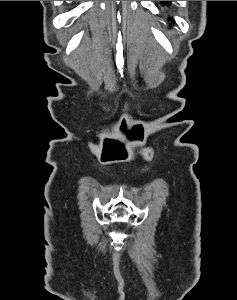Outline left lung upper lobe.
Returning a JSON list of instances; mask_svg holds the SVG:
<instances>
[{"instance_id":"1","label":"left lung upper lobe","mask_w":237,"mask_h":300,"mask_svg":"<svg viewBox=\"0 0 237 300\" xmlns=\"http://www.w3.org/2000/svg\"><path fill=\"white\" fill-rule=\"evenodd\" d=\"M171 1H161V3H163V4H166L167 6H169V3H170ZM174 23V22H173ZM170 26H172V25H170Z\"/></svg>"}]
</instances>
